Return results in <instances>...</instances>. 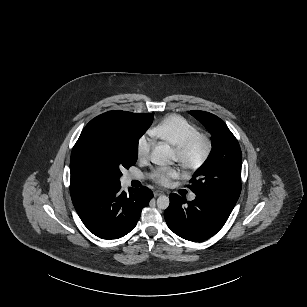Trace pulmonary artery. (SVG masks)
I'll return each instance as SVG.
<instances>
[{
	"label": "pulmonary artery",
	"instance_id": "1",
	"mask_svg": "<svg viewBox=\"0 0 307 307\" xmlns=\"http://www.w3.org/2000/svg\"><path fill=\"white\" fill-rule=\"evenodd\" d=\"M130 177H131V178H136L135 175H131ZM194 198H195V194H191V195H190V199L193 200Z\"/></svg>",
	"mask_w": 307,
	"mask_h": 307
}]
</instances>
